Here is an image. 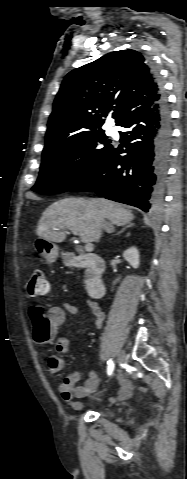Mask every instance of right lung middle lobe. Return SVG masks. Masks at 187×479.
I'll use <instances>...</instances> for the list:
<instances>
[{
	"label": "right lung middle lobe",
	"mask_w": 187,
	"mask_h": 479,
	"mask_svg": "<svg viewBox=\"0 0 187 479\" xmlns=\"http://www.w3.org/2000/svg\"><path fill=\"white\" fill-rule=\"evenodd\" d=\"M104 131L76 135L44 149L38 180L33 191L58 194L69 191L97 167L112 149Z\"/></svg>",
	"instance_id": "1"
}]
</instances>
